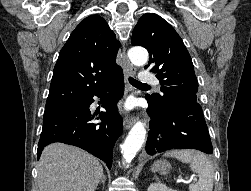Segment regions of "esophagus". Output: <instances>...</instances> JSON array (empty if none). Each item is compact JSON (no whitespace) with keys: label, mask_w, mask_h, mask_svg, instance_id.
Returning <instances> with one entry per match:
<instances>
[{"label":"esophagus","mask_w":251,"mask_h":191,"mask_svg":"<svg viewBox=\"0 0 251 191\" xmlns=\"http://www.w3.org/2000/svg\"><path fill=\"white\" fill-rule=\"evenodd\" d=\"M122 57L124 60V63L126 65V73L127 75H135L136 74V69L134 68V66L128 61L127 57H126V53H125V48H123V52H122ZM136 118L133 116H125L124 120H123V125H124V129H129L131 128V126L135 123Z\"/></svg>","instance_id":"esophagus-1"}]
</instances>
